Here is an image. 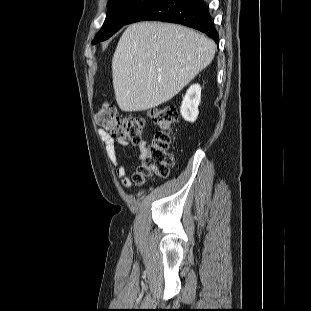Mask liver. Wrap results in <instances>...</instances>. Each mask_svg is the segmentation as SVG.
<instances>
[{"mask_svg": "<svg viewBox=\"0 0 311 311\" xmlns=\"http://www.w3.org/2000/svg\"><path fill=\"white\" fill-rule=\"evenodd\" d=\"M215 48L214 41L181 25H130L112 58L119 108L144 111L169 101L212 62Z\"/></svg>", "mask_w": 311, "mask_h": 311, "instance_id": "obj_1", "label": "liver"}]
</instances>
